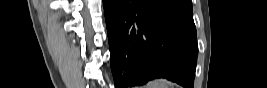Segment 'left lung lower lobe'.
Instances as JSON below:
<instances>
[{"mask_svg":"<svg viewBox=\"0 0 267 88\" xmlns=\"http://www.w3.org/2000/svg\"><path fill=\"white\" fill-rule=\"evenodd\" d=\"M115 88L164 77L193 88L197 59L192 4L103 0Z\"/></svg>","mask_w":267,"mask_h":88,"instance_id":"0a47b994","label":"left lung lower lobe"}]
</instances>
